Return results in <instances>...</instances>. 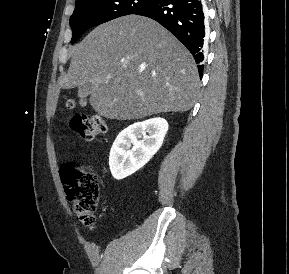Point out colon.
Returning a JSON list of instances; mask_svg holds the SVG:
<instances>
[{"label": "colon", "instance_id": "5ec220e1", "mask_svg": "<svg viewBox=\"0 0 289 274\" xmlns=\"http://www.w3.org/2000/svg\"><path fill=\"white\" fill-rule=\"evenodd\" d=\"M84 103L83 100L69 99L67 106L72 109ZM72 128L83 140L90 142L107 131V122L99 115L78 116L72 121ZM60 175L67 199L73 204L80 221L92 227L100 199L95 173L90 167L76 166L69 162L62 166Z\"/></svg>", "mask_w": 289, "mask_h": 274}]
</instances>
